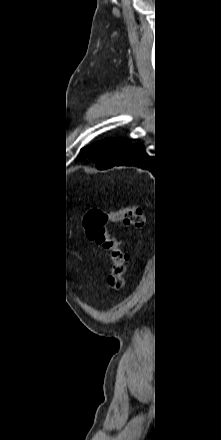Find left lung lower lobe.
<instances>
[{"label":"left lung lower lobe","mask_w":221,"mask_h":440,"mask_svg":"<svg viewBox=\"0 0 221 440\" xmlns=\"http://www.w3.org/2000/svg\"><path fill=\"white\" fill-rule=\"evenodd\" d=\"M113 166H136L139 168L148 169L153 173L156 172L157 170L156 163H154L152 157H150L145 152L144 147L140 144H132V143L128 148L127 152L125 153V155L122 157V159H120L111 167Z\"/></svg>","instance_id":"0a47b994"}]
</instances>
